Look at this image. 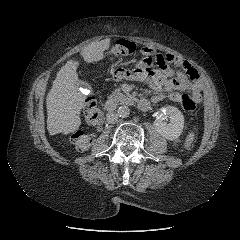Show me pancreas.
Wrapping results in <instances>:
<instances>
[{"label": "pancreas", "mask_w": 240, "mask_h": 240, "mask_svg": "<svg viewBox=\"0 0 240 240\" xmlns=\"http://www.w3.org/2000/svg\"><path fill=\"white\" fill-rule=\"evenodd\" d=\"M130 99V96L124 95L121 90L118 88L108 97V102L110 103H120L123 104Z\"/></svg>", "instance_id": "pancreas-1"}]
</instances>
